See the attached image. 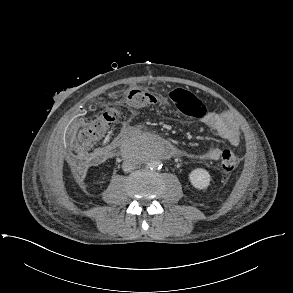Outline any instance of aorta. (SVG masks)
Instances as JSON below:
<instances>
[{"mask_svg": "<svg viewBox=\"0 0 293 293\" xmlns=\"http://www.w3.org/2000/svg\"><path fill=\"white\" fill-rule=\"evenodd\" d=\"M147 166H148V168H150L152 170L160 169L161 162L158 160H152V161L148 162Z\"/></svg>", "mask_w": 293, "mask_h": 293, "instance_id": "1", "label": "aorta"}]
</instances>
